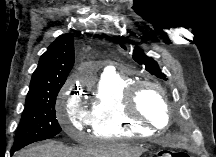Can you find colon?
Returning a JSON list of instances; mask_svg holds the SVG:
<instances>
[{"mask_svg": "<svg viewBox=\"0 0 216 157\" xmlns=\"http://www.w3.org/2000/svg\"><path fill=\"white\" fill-rule=\"evenodd\" d=\"M157 157H189V155L184 150L164 149L158 152Z\"/></svg>", "mask_w": 216, "mask_h": 157, "instance_id": "5ec220e1", "label": "colon"}]
</instances>
